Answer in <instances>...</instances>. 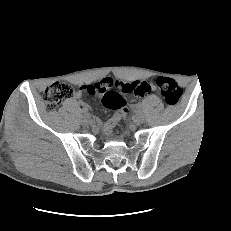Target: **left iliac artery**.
Instances as JSON below:
<instances>
[{"instance_id": "1", "label": "left iliac artery", "mask_w": 231, "mask_h": 231, "mask_svg": "<svg viewBox=\"0 0 231 231\" xmlns=\"http://www.w3.org/2000/svg\"><path fill=\"white\" fill-rule=\"evenodd\" d=\"M134 109H135L136 111H141V110H142V105H141V104H136V105L134 106Z\"/></svg>"}]
</instances>
